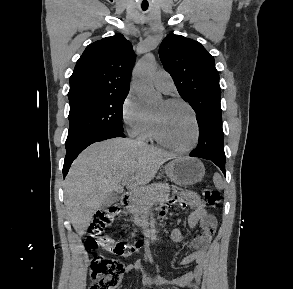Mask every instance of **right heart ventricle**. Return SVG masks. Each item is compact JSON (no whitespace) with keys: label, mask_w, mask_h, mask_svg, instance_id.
Here are the masks:
<instances>
[{"label":"right heart ventricle","mask_w":293,"mask_h":289,"mask_svg":"<svg viewBox=\"0 0 293 289\" xmlns=\"http://www.w3.org/2000/svg\"><path fill=\"white\" fill-rule=\"evenodd\" d=\"M139 136L140 138L145 140L153 139L152 130H151V118L149 119V121L147 122V124L145 125L144 129L142 130Z\"/></svg>","instance_id":"1"}]
</instances>
